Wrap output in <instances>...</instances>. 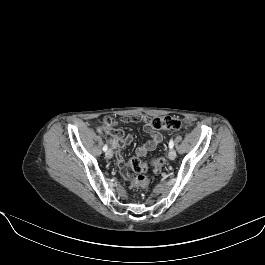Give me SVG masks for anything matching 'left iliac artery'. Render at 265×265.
I'll use <instances>...</instances> for the list:
<instances>
[{"mask_svg": "<svg viewBox=\"0 0 265 265\" xmlns=\"http://www.w3.org/2000/svg\"><path fill=\"white\" fill-rule=\"evenodd\" d=\"M173 146H174V142H173V140L171 139V140L169 141V148L172 149Z\"/></svg>", "mask_w": 265, "mask_h": 265, "instance_id": "44dca946", "label": "left iliac artery"}]
</instances>
